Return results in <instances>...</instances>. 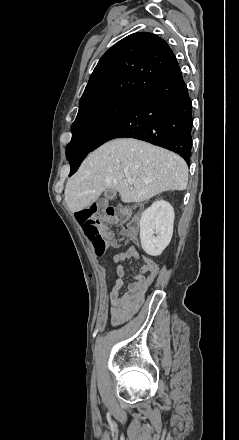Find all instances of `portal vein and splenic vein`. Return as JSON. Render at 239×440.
Returning <instances> with one entry per match:
<instances>
[{
    "instance_id": "1",
    "label": "portal vein and splenic vein",
    "mask_w": 239,
    "mask_h": 440,
    "mask_svg": "<svg viewBox=\"0 0 239 440\" xmlns=\"http://www.w3.org/2000/svg\"><path fill=\"white\" fill-rule=\"evenodd\" d=\"M128 182H129L130 186H132V184H134L132 178H128Z\"/></svg>"
}]
</instances>
